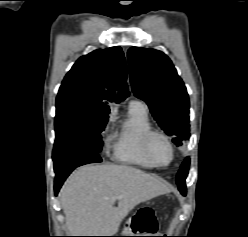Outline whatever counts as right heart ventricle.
<instances>
[{
    "label": "right heart ventricle",
    "instance_id": "obj_1",
    "mask_svg": "<svg viewBox=\"0 0 248 237\" xmlns=\"http://www.w3.org/2000/svg\"><path fill=\"white\" fill-rule=\"evenodd\" d=\"M152 130L147 108L129 105L126 118L113 133L112 158L120 163L145 169L155 168L143 151V137Z\"/></svg>",
    "mask_w": 248,
    "mask_h": 237
}]
</instances>
